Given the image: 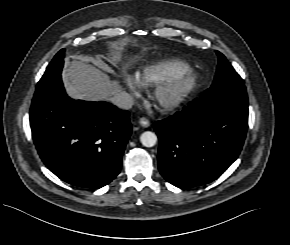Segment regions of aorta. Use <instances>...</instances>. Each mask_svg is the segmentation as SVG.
<instances>
[{
	"instance_id": "obj_1",
	"label": "aorta",
	"mask_w": 290,
	"mask_h": 245,
	"mask_svg": "<svg viewBox=\"0 0 290 245\" xmlns=\"http://www.w3.org/2000/svg\"><path fill=\"white\" fill-rule=\"evenodd\" d=\"M140 141L145 147H153L157 143V136L151 131H145L141 134Z\"/></svg>"
}]
</instances>
